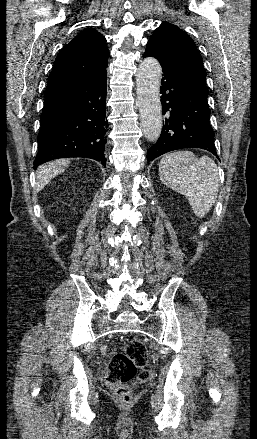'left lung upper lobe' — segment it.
<instances>
[{
	"label": "left lung upper lobe",
	"mask_w": 257,
	"mask_h": 439,
	"mask_svg": "<svg viewBox=\"0 0 257 439\" xmlns=\"http://www.w3.org/2000/svg\"><path fill=\"white\" fill-rule=\"evenodd\" d=\"M147 47L153 48L162 61L181 69L207 90L202 57L193 40L179 27L163 22L151 36Z\"/></svg>",
	"instance_id": "1"
}]
</instances>
